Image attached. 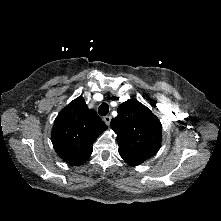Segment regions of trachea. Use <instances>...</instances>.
Listing matches in <instances>:
<instances>
[{
    "mask_svg": "<svg viewBox=\"0 0 221 221\" xmlns=\"http://www.w3.org/2000/svg\"><path fill=\"white\" fill-rule=\"evenodd\" d=\"M109 112V105L107 103H102L100 106H99V109H98V113L101 115V116H105L107 115Z\"/></svg>",
    "mask_w": 221,
    "mask_h": 221,
    "instance_id": "obj_1",
    "label": "trachea"
}]
</instances>
